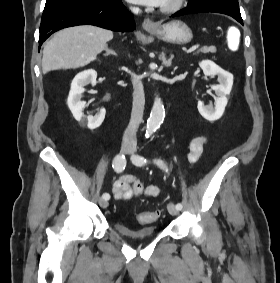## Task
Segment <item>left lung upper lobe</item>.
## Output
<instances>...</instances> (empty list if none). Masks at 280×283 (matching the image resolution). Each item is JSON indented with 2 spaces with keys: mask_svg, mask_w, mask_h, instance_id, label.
Masks as SVG:
<instances>
[{
  "mask_svg": "<svg viewBox=\"0 0 280 283\" xmlns=\"http://www.w3.org/2000/svg\"><path fill=\"white\" fill-rule=\"evenodd\" d=\"M188 6L213 7L241 18L238 0H188Z\"/></svg>",
  "mask_w": 280,
  "mask_h": 283,
  "instance_id": "left-lung-upper-lobe-1",
  "label": "left lung upper lobe"
}]
</instances>
